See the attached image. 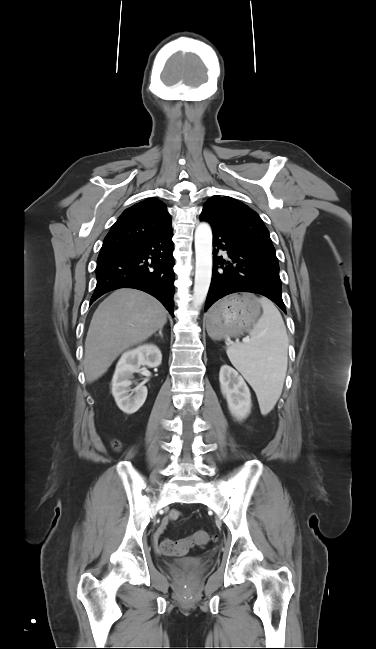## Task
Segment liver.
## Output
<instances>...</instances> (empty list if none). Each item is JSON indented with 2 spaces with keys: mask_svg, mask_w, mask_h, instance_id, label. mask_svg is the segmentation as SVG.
Returning <instances> with one entry per match:
<instances>
[{
  "mask_svg": "<svg viewBox=\"0 0 376 649\" xmlns=\"http://www.w3.org/2000/svg\"><path fill=\"white\" fill-rule=\"evenodd\" d=\"M166 321V309L148 293L133 288L111 293L94 312L87 332L86 381L99 379L119 354L145 341Z\"/></svg>",
  "mask_w": 376,
  "mask_h": 649,
  "instance_id": "obj_1",
  "label": "liver"
}]
</instances>
